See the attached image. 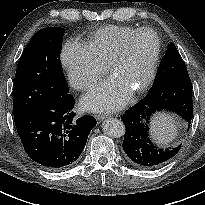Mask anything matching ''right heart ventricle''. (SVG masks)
Instances as JSON below:
<instances>
[{"label":"right heart ventricle","mask_w":205,"mask_h":205,"mask_svg":"<svg viewBox=\"0 0 205 205\" xmlns=\"http://www.w3.org/2000/svg\"><path fill=\"white\" fill-rule=\"evenodd\" d=\"M137 29L122 25L105 26L90 35L87 46L97 60L107 66L125 37Z\"/></svg>","instance_id":"e07e8e85"}]
</instances>
